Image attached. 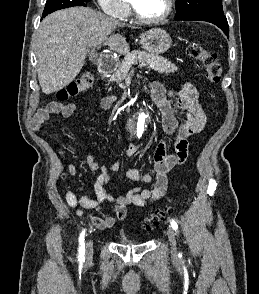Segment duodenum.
<instances>
[{"instance_id": "410a0bca", "label": "duodenum", "mask_w": 259, "mask_h": 294, "mask_svg": "<svg viewBox=\"0 0 259 294\" xmlns=\"http://www.w3.org/2000/svg\"><path fill=\"white\" fill-rule=\"evenodd\" d=\"M99 71L102 74H106L114 70L116 67V61L113 57L107 56L99 60L98 62Z\"/></svg>"}]
</instances>
